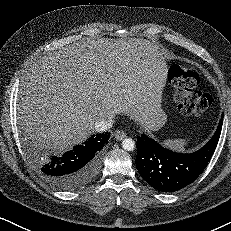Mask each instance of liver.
I'll use <instances>...</instances> for the list:
<instances>
[{
	"mask_svg": "<svg viewBox=\"0 0 231 231\" xmlns=\"http://www.w3.org/2000/svg\"><path fill=\"white\" fill-rule=\"evenodd\" d=\"M167 64L142 38L77 42L48 53L24 76L18 118L34 145L65 151L85 141L102 119L130 115L148 131L165 121Z\"/></svg>",
	"mask_w": 231,
	"mask_h": 231,
	"instance_id": "1",
	"label": "liver"
}]
</instances>
